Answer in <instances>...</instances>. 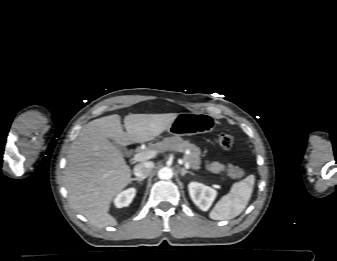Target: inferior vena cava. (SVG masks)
<instances>
[{
  "mask_svg": "<svg viewBox=\"0 0 337 261\" xmlns=\"http://www.w3.org/2000/svg\"><path fill=\"white\" fill-rule=\"evenodd\" d=\"M153 167H154L153 162L139 163L134 167V175L137 176L138 178L144 179L150 175Z\"/></svg>",
  "mask_w": 337,
  "mask_h": 261,
  "instance_id": "inferior-vena-cava-1",
  "label": "inferior vena cava"
}]
</instances>
